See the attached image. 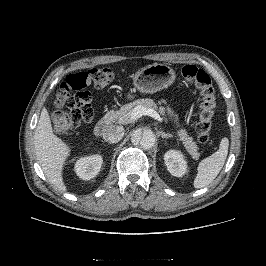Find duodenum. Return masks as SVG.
<instances>
[{
    "label": "duodenum",
    "mask_w": 266,
    "mask_h": 266,
    "mask_svg": "<svg viewBox=\"0 0 266 266\" xmlns=\"http://www.w3.org/2000/svg\"><path fill=\"white\" fill-rule=\"evenodd\" d=\"M110 123H111L110 118H105V119L99 121L94 127V134L96 136H103L106 133L108 125Z\"/></svg>",
    "instance_id": "duodenum-1"
}]
</instances>
